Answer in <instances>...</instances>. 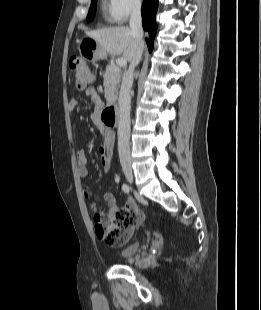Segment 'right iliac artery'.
Listing matches in <instances>:
<instances>
[{"mask_svg": "<svg viewBox=\"0 0 261 310\" xmlns=\"http://www.w3.org/2000/svg\"><path fill=\"white\" fill-rule=\"evenodd\" d=\"M122 190H123L125 193H129L130 187H129L127 184H123V185H122Z\"/></svg>", "mask_w": 261, "mask_h": 310, "instance_id": "obj_1", "label": "right iliac artery"}]
</instances>
